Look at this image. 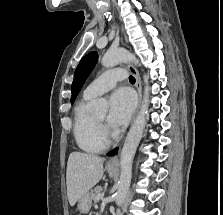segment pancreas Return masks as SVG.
<instances>
[{"label":"pancreas","instance_id":"cf45deb5","mask_svg":"<svg viewBox=\"0 0 223 215\" xmlns=\"http://www.w3.org/2000/svg\"><path fill=\"white\" fill-rule=\"evenodd\" d=\"M100 191H102V187H101V185H96V187H94V189H93V194H91L93 197V201H95V203H96V201H97V195H98V193H100Z\"/></svg>","mask_w":223,"mask_h":215}]
</instances>
